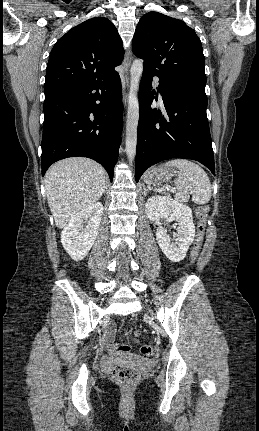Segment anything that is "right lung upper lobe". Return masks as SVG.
Here are the masks:
<instances>
[{
	"label": "right lung upper lobe",
	"instance_id": "right-lung-upper-lobe-1",
	"mask_svg": "<svg viewBox=\"0 0 259 431\" xmlns=\"http://www.w3.org/2000/svg\"><path fill=\"white\" fill-rule=\"evenodd\" d=\"M124 57L122 40L113 23L91 18L61 37L51 50L44 92L102 81L117 74Z\"/></svg>",
	"mask_w": 259,
	"mask_h": 431
}]
</instances>
